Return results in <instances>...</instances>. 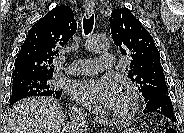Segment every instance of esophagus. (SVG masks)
Wrapping results in <instances>:
<instances>
[{
  "instance_id": "esophagus-1",
  "label": "esophagus",
  "mask_w": 184,
  "mask_h": 133,
  "mask_svg": "<svg viewBox=\"0 0 184 133\" xmlns=\"http://www.w3.org/2000/svg\"><path fill=\"white\" fill-rule=\"evenodd\" d=\"M84 6L86 13L91 14L94 11L95 2L93 0H86Z\"/></svg>"
}]
</instances>
